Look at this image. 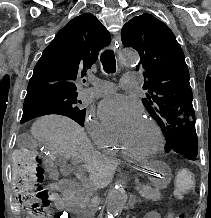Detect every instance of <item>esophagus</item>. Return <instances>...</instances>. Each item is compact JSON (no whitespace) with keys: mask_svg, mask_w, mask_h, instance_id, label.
Segmentation results:
<instances>
[{"mask_svg":"<svg viewBox=\"0 0 211 218\" xmlns=\"http://www.w3.org/2000/svg\"><path fill=\"white\" fill-rule=\"evenodd\" d=\"M122 47V42L120 35L117 34L113 40H112V48L115 51H118ZM124 163L126 164V167L128 168L129 172H141L142 168L139 167V164H132L134 163V160L125 159Z\"/></svg>","mask_w":211,"mask_h":218,"instance_id":"1","label":"esophagus"}]
</instances>
